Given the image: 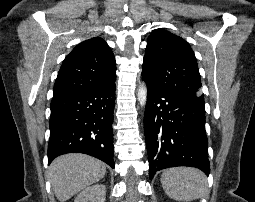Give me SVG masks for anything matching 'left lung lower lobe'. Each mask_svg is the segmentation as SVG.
Wrapping results in <instances>:
<instances>
[{
  "label": "left lung lower lobe",
  "instance_id": "left-lung-lower-lobe-1",
  "mask_svg": "<svg viewBox=\"0 0 255 202\" xmlns=\"http://www.w3.org/2000/svg\"><path fill=\"white\" fill-rule=\"evenodd\" d=\"M146 84L144 132L150 179L174 166L196 167L209 175L204 100Z\"/></svg>",
  "mask_w": 255,
  "mask_h": 202
}]
</instances>
